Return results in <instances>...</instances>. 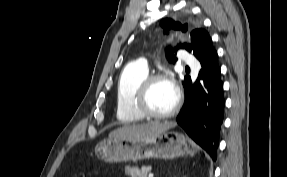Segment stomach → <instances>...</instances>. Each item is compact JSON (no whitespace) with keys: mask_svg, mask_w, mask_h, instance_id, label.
<instances>
[{"mask_svg":"<svg viewBox=\"0 0 287 177\" xmlns=\"http://www.w3.org/2000/svg\"><path fill=\"white\" fill-rule=\"evenodd\" d=\"M95 153L105 162L117 163L192 156L195 149L189 147L182 133L166 130L145 138H109L96 146Z\"/></svg>","mask_w":287,"mask_h":177,"instance_id":"stomach-1","label":"stomach"}]
</instances>
